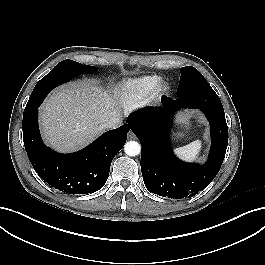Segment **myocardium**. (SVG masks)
<instances>
[{
  "label": "myocardium",
  "mask_w": 265,
  "mask_h": 265,
  "mask_svg": "<svg viewBox=\"0 0 265 265\" xmlns=\"http://www.w3.org/2000/svg\"><path fill=\"white\" fill-rule=\"evenodd\" d=\"M167 89V86L164 84V83H158L155 87V92H156V95H161L163 94Z\"/></svg>",
  "instance_id": "f54148a6"
}]
</instances>
